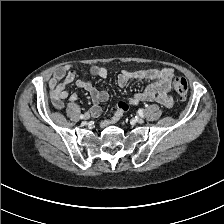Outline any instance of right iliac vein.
<instances>
[{"instance_id":"63e3f726","label":"right iliac vein","mask_w":224,"mask_h":224,"mask_svg":"<svg viewBox=\"0 0 224 224\" xmlns=\"http://www.w3.org/2000/svg\"><path fill=\"white\" fill-rule=\"evenodd\" d=\"M89 118H90V115L88 113H86L84 119L88 120Z\"/></svg>"}]
</instances>
